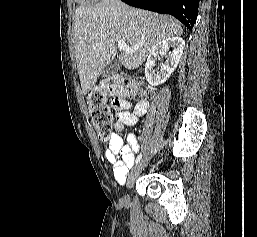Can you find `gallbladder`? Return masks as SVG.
Returning a JSON list of instances; mask_svg holds the SVG:
<instances>
[{
  "label": "gallbladder",
  "instance_id": "1",
  "mask_svg": "<svg viewBox=\"0 0 257 237\" xmlns=\"http://www.w3.org/2000/svg\"><path fill=\"white\" fill-rule=\"evenodd\" d=\"M120 66H121V63L119 62L118 59L112 60L105 66L104 70L101 73V77L103 79H106L110 76H113L119 71Z\"/></svg>",
  "mask_w": 257,
  "mask_h": 237
}]
</instances>
